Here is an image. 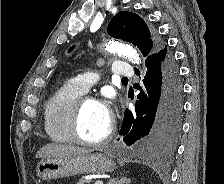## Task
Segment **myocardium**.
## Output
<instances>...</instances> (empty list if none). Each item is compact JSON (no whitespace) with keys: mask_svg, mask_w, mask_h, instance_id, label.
Segmentation results:
<instances>
[{"mask_svg":"<svg viewBox=\"0 0 224 184\" xmlns=\"http://www.w3.org/2000/svg\"><path fill=\"white\" fill-rule=\"evenodd\" d=\"M89 101L99 102L98 99L89 95H82L77 99L71 114V118H70V124H69L70 134H71L73 142L77 144L91 146V147L102 146L106 144L107 142H109L111 138L113 137L115 133V128H116L115 120L113 116H111L108 132L103 138L99 140H94V141L84 139L80 134V120H81V115H82L84 105Z\"/></svg>","mask_w":224,"mask_h":184,"instance_id":"f54148a6","label":"myocardium"}]
</instances>
